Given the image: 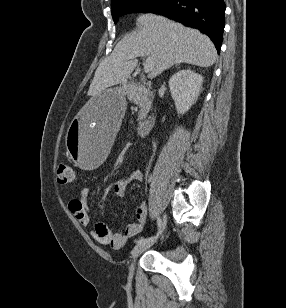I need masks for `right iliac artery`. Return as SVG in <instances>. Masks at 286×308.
Wrapping results in <instances>:
<instances>
[{
	"instance_id": "right-iliac-artery-1",
	"label": "right iliac artery",
	"mask_w": 286,
	"mask_h": 308,
	"mask_svg": "<svg viewBox=\"0 0 286 308\" xmlns=\"http://www.w3.org/2000/svg\"><path fill=\"white\" fill-rule=\"evenodd\" d=\"M161 224H162V220L160 217L157 218V226H158V232L155 236H151V237H147V238H144V237H141L137 240H135V243L136 244H139V243H143V242H147V241H150L156 237H158L159 233H160V228H161Z\"/></svg>"
}]
</instances>
